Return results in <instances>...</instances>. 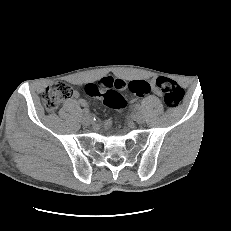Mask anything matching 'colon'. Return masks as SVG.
<instances>
[{
	"label": "colon",
	"instance_id": "obj_1",
	"mask_svg": "<svg viewBox=\"0 0 231 231\" xmlns=\"http://www.w3.org/2000/svg\"><path fill=\"white\" fill-rule=\"evenodd\" d=\"M155 84L163 94L165 104L168 107L174 108L180 104L184 97V91L174 80L158 77ZM122 91H129L136 96H144L150 91V84L143 80L125 82L103 78L96 83L85 86V92L89 96L102 97L106 106L116 110H122L126 106V101L121 94ZM73 95L74 90L68 83L55 82L46 88L42 100L46 110L54 112L63 101Z\"/></svg>",
	"mask_w": 231,
	"mask_h": 231
}]
</instances>
